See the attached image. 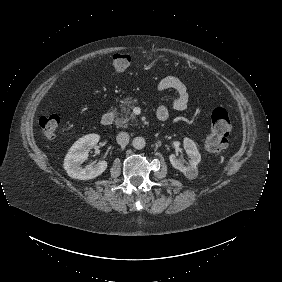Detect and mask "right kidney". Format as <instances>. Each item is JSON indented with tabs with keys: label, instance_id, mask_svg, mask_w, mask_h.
I'll use <instances>...</instances> for the list:
<instances>
[{
	"label": "right kidney",
	"instance_id": "right-kidney-1",
	"mask_svg": "<svg viewBox=\"0 0 282 282\" xmlns=\"http://www.w3.org/2000/svg\"><path fill=\"white\" fill-rule=\"evenodd\" d=\"M99 141V136L89 134L80 138L69 150L64 160V169L67 175L76 180H91L101 175L107 168V161L102 160L96 165L82 168L80 163L84 162L89 155V151Z\"/></svg>",
	"mask_w": 282,
	"mask_h": 282
}]
</instances>
